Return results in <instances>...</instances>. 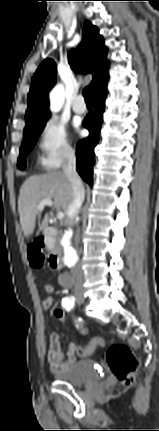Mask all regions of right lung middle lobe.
Here are the masks:
<instances>
[{
	"label": "right lung middle lobe",
	"instance_id": "right-lung-middle-lobe-1",
	"mask_svg": "<svg viewBox=\"0 0 159 431\" xmlns=\"http://www.w3.org/2000/svg\"><path fill=\"white\" fill-rule=\"evenodd\" d=\"M45 124L46 121L24 131V139L20 148V157L18 158V168L21 170L26 167L25 156L34 147L37 138L45 127Z\"/></svg>",
	"mask_w": 159,
	"mask_h": 431
}]
</instances>
